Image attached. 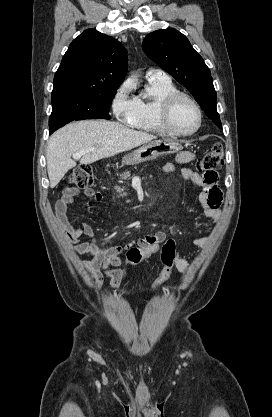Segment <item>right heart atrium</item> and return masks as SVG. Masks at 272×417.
<instances>
[{"label":"right heart atrium","mask_w":272,"mask_h":417,"mask_svg":"<svg viewBox=\"0 0 272 417\" xmlns=\"http://www.w3.org/2000/svg\"><path fill=\"white\" fill-rule=\"evenodd\" d=\"M131 91V83L125 81L118 87L111 101L112 112L116 119L128 124L136 110V100L131 96Z\"/></svg>","instance_id":"obj_1"}]
</instances>
